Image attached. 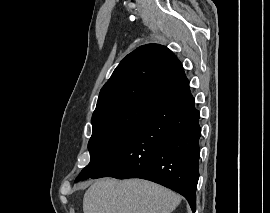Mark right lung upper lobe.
Wrapping results in <instances>:
<instances>
[{
	"instance_id": "obj_1",
	"label": "right lung upper lobe",
	"mask_w": 270,
	"mask_h": 213,
	"mask_svg": "<svg viewBox=\"0 0 270 213\" xmlns=\"http://www.w3.org/2000/svg\"><path fill=\"white\" fill-rule=\"evenodd\" d=\"M188 84L182 64L167 47L140 46L120 62L103 86L92 118L134 101L158 104Z\"/></svg>"
}]
</instances>
